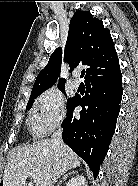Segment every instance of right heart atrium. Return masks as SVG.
I'll return each instance as SVG.
<instances>
[{
	"mask_svg": "<svg viewBox=\"0 0 138 186\" xmlns=\"http://www.w3.org/2000/svg\"><path fill=\"white\" fill-rule=\"evenodd\" d=\"M65 101L61 92L51 87L45 90L35 102V122L42 133H49L65 119Z\"/></svg>",
	"mask_w": 138,
	"mask_h": 186,
	"instance_id": "d8ad5b80",
	"label": "right heart atrium"
}]
</instances>
